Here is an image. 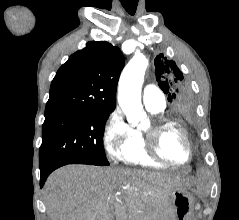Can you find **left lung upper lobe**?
Here are the masks:
<instances>
[{"mask_svg":"<svg viewBox=\"0 0 239 220\" xmlns=\"http://www.w3.org/2000/svg\"><path fill=\"white\" fill-rule=\"evenodd\" d=\"M154 64L156 80L159 87L167 95L173 114L185 122L194 123L196 108L193 99L183 84V73L173 60L163 54L158 55Z\"/></svg>","mask_w":239,"mask_h":220,"instance_id":"left-lung-upper-lobe-1","label":"left lung upper lobe"}]
</instances>
